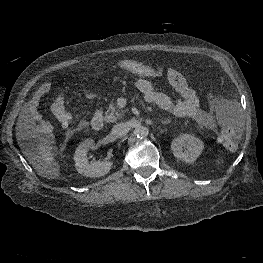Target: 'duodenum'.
Listing matches in <instances>:
<instances>
[{"instance_id":"duodenum-1","label":"duodenum","mask_w":263,"mask_h":263,"mask_svg":"<svg viewBox=\"0 0 263 263\" xmlns=\"http://www.w3.org/2000/svg\"><path fill=\"white\" fill-rule=\"evenodd\" d=\"M104 126L103 115L100 111H96L91 119V127L94 131H100Z\"/></svg>"}]
</instances>
